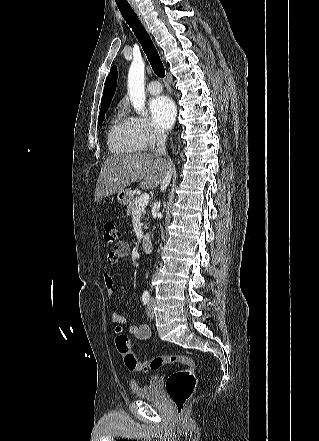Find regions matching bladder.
<instances>
[{
    "instance_id": "31cf9c89",
    "label": "bladder",
    "mask_w": 319,
    "mask_h": 441,
    "mask_svg": "<svg viewBox=\"0 0 319 441\" xmlns=\"http://www.w3.org/2000/svg\"><path fill=\"white\" fill-rule=\"evenodd\" d=\"M131 390L135 397L141 399L154 398L158 395V377L152 376L144 384H138L135 381L130 383Z\"/></svg>"
}]
</instances>
